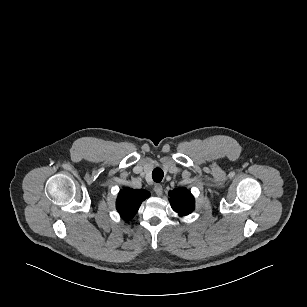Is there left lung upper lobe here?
Wrapping results in <instances>:
<instances>
[{
	"instance_id": "left-lung-upper-lobe-1",
	"label": "left lung upper lobe",
	"mask_w": 307,
	"mask_h": 307,
	"mask_svg": "<svg viewBox=\"0 0 307 307\" xmlns=\"http://www.w3.org/2000/svg\"><path fill=\"white\" fill-rule=\"evenodd\" d=\"M171 207L179 215L185 216L192 213L195 209L193 195L185 188L174 189L169 192Z\"/></svg>"
}]
</instances>
